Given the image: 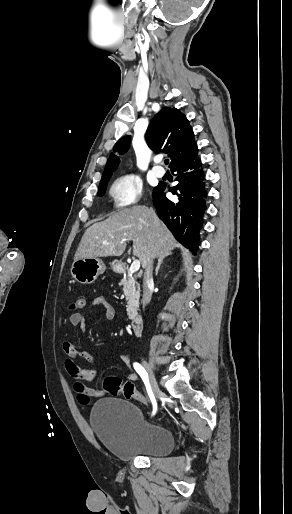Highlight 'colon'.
I'll return each instance as SVG.
<instances>
[{
	"instance_id": "colon-1",
	"label": "colon",
	"mask_w": 292,
	"mask_h": 514,
	"mask_svg": "<svg viewBox=\"0 0 292 514\" xmlns=\"http://www.w3.org/2000/svg\"><path fill=\"white\" fill-rule=\"evenodd\" d=\"M86 305L84 295L76 296L74 302L70 305V309L74 311L82 310ZM104 390L110 392L114 396L122 395L125 399H134L142 404H148L149 400L139 392H136L134 384H125L121 379L115 376H106L102 380Z\"/></svg>"
}]
</instances>
